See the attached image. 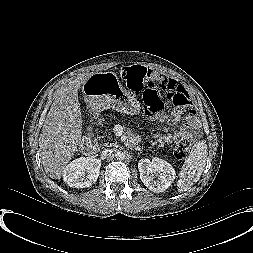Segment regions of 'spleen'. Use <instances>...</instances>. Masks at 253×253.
<instances>
[{"label":"spleen","instance_id":"spleen-1","mask_svg":"<svg viewBox=\"0 0 253 253\" xmlns=\"http://www.w3.org/2000/svg\"><path fill=\"white\" fill-rule=\"evenodd\" d=\"M207 144L205 140L197 142L183 164L178 180V191L184 192L200 178L207 159Z\"/></svg>","mask_w":253,"mask_h":253}]
</instances>
